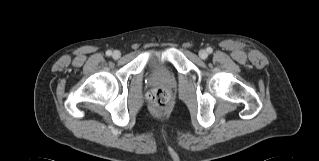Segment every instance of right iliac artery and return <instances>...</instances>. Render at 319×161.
Segmentation results:
<instances>
[{"instance_id":"1","label":"right iliac artery","mask_w":319,"mask_h":161,"mask_svg":"<svg viewBox=\"0 0 319 161\" xmlns=\"http://www.w3.org/2000/svg\"><path fill=\"white\" fill-rule=\"evenodd\" d=\"M106 55L107 56H111L112 55V51L111 50L106 51Z\"/></svg>"}]
</instances>
